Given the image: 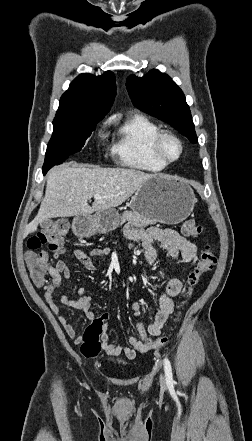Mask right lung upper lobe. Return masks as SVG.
<instances>
[{
  "instance_id": "obj_1",
  "label": "right lung upper lobe",
  "mask_w": 252,
  "mask_h": 441,
  "mask_svg": "<svg viewBox=\"0 0 252 441\" xmlns=\"http://www.w3.org/2000/svg\"><path fill=\"white\" fill-rule=\"evenodd\" d=\"M113 72L101 76L80 74L62 95L56 116L101 120L112 106L116 94Z\"/></svg>"
}]
</instances>
